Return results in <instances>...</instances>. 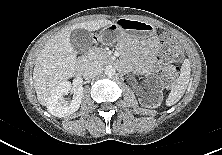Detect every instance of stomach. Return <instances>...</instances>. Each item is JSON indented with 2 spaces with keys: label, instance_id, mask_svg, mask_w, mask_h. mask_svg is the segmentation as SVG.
<instances>
[{
  "label": "stomach",
  "instance_id": "1",
  "mask_svg": "<svg viewBox=\"0 0 222 155\" xmlns=\"http://www.w3.org/2000/svg\"><path fill=\"white\" fill-rule=\"evenodd\" d=\"M155 27L145 21L130 18H120L116 23L105 27L99 34V40L104 45H112L128 39L138 45L155 35Z\"/></svg>",
  "mask_w": 222,
  "mask_h": 155
}]
</instances>
